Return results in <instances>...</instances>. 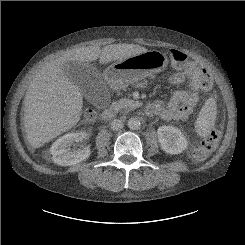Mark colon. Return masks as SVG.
I'll use <instances>...</instances> for the list:
<instances>
[{"instance_id": "colon-1", "label": "colon", "mask_w": 245, "mask_h": 245, "mask_svg": "<svg viewBox=\"0 0 245 245\" xmlns=\"http://www.w3.org/2000/svg\"><path fill=\"white\" fill-rule=\"evenodd\" d=\"M169 57L171 58V61L173 62V64L178 67H183L188 62V56L180 50L171 49L169 52ZM198 82H199L200 87L204 91H207V92L211 91L213 81L209 75L207 74L200 75L198 77ZM93 116H94V112L91 109L86 110L85 112L86 119L91 118ZM219 139H220L219 130L214 129L211 132H209L205 138L200 140L194 146L193 158L197 160L204 159L208 154H210L213 150H215V148L218 145Z\"/></svg>"}]
</instances>
